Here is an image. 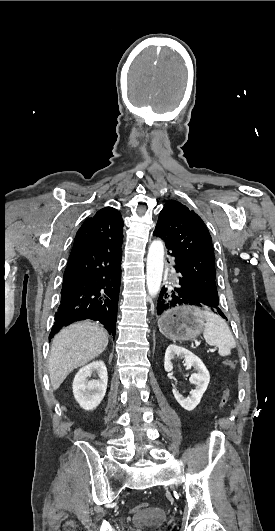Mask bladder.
Returning a JSON list of instances; mask_svg holds the SVG:
<instances>
[{"instance_id":"31cf9c89","label":"bladder","mask_w":275,"mask_h":531,"mask_svg":"<svg viewBox=\"0 0 275 531\" xmlns=\"http://www.w3.org/2000/svg\"><path fill=\"white\" fill-rule=\"evenodd\" d=\"M168 513L159 505H150L135 513L133 520L137 524L136 531H157V526L164 524Z\"/></svg>"}]
</instances>
